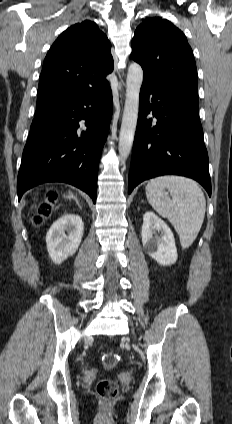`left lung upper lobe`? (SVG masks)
Segmentation results:
<instances>
[{"instance_id":"left-lung-upper-lobe-1","label":"left lung upper lobe","mask_w":232,"mask_h":424,"mask_svg":"<svg viewBox=\"0 0 232 424\" xmlns=\"http://www.w3.org/2000/svg\"><path fill=\"white\" fill-rule=\"evenodd\" d=\"M131 57L144 71L143 85L198 91L196 63L185 35L168 20L148 18L132 40Z\"/></svg>"}]
</instances>
